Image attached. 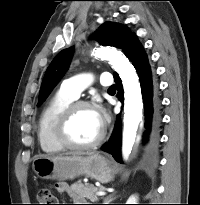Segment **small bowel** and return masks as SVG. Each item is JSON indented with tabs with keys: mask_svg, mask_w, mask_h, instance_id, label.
<instances>
[{
	"mask_svg": "<svg viewBox=\"0 0 200 205\" xmlns=\"http://www.w3.org/2000/svg\"><path fill=\"white\" fill-rule=\"evenodd\" d=\"M57 191L61 194H69L70 193V187L66 183H59L57 185Z\"/></svg>",
	"mask_w": 200,
	"mask_h": 205,
	"instance_id": "obj_1",
	"label": "small bowel"
}]
</instances>
